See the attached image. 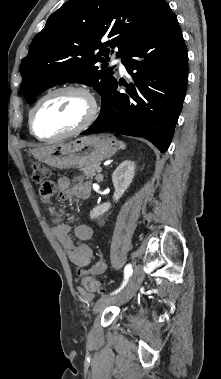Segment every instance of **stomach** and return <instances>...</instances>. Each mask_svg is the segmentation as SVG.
Segmentation results:
<instances>
[{"label": "stomach", "mask_w": 221, "mask_h": 379, "mask_svg": "<svg viewBox=\"0 0 221 379\" xmlns=\"http://www.w3.org/2000/svg\"><path fill=\"white\" fill-rule=\"evenodd\" d=\"M116 138L110 134L90 135L70 142H58L37 148L34 157L58 169L99 165L118 150Z\"/></svg>", "instance_id": "obj_1"}]
</instances>
